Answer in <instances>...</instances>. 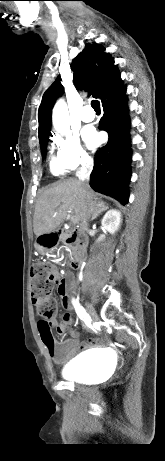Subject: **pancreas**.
Wrapping results in <instances>:
<instances>
[{"mask_svg":"<svg viewBox=\"0 0 165 461\" xmlns=\"http://www.w3.org/2000/svg\"><path fill=\"white\" fill-rule=\"evenodd\" d=\"M69 247H70L71 249H73V247H72V246H69Z\"/></svg>","mask_w":165,"mask_h":461,"instance_id":"1","label":"pancreas"}]
</instances>
